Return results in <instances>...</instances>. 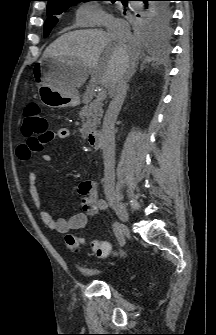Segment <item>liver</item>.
Instances as JSON below:
<instances>
[{
    "label": "liver",
    "instance_id": "1",
    "mask_svg": "<svg viewBox=\"0 0 216 335\" xmlns=\"http://www.w3.org/2000/svg\"><path fill=\"white\" fill-rule=\"evenodd\" d=\"M138 45L129 40L119 45L101 29L71 31L51 43L43 59L58 57L73 59V67L65 76L68 89L76 91L91 75L92 84H100L113 92L121 60L133 62L138 56Z\"/></svg>",
    "mask_w": 216,
    "mask_h": 335
}]
</instances>
